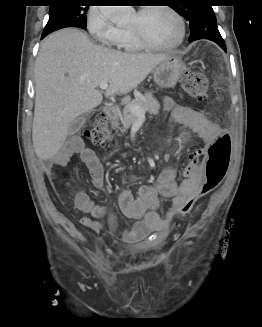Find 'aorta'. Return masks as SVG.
Returning a JSON list of instances; mask_svg holds the SVG:
<instances>
[{"label":"aorta","instance_id":"762f6f07","mask_svg":"<svg viewBox=\"0 0 262 327\" xmlns=\"http://www.w3.org/2000/svg\"><path fill=\"white\" fill-rule=\"evenodd\" d=\"M119 16H125V14L124 13H121L120 15H116V16H114V19H116Z\"/></svg>","mask_w":262,"mask_h":327}]
</instances>
